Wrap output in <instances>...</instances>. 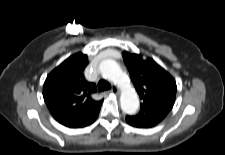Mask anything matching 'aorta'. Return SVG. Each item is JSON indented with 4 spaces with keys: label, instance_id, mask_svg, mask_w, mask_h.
<instances>
[{
    "label": "aorta",
    "instance_id": "1",
    "mask_svg": "<svg viewBox=\"0 0 225 155\" xmlns=\"http://www.w3.org/2000/svg\"><path fill=\"white\" fill-rule=\"evenodd\" d=\"M99 71L104 78L114 82L120 88L122 111L130 115L135 114L139 108V98L119 64L112 59L102 60L99 65Z\"/></svg>",
    "mask_w": 225,
    "mask_h": 155
}]
</instances>
